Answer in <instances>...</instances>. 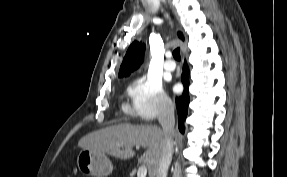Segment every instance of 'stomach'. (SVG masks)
<instances>
[{
	"mask_svg": "<svg viewBox=\"0 0 287 177\" xmlns=\"http://www.w3.org/2000/svg\"><path fill=\"white\" fill-rule=\"evenodd\" d=\"M77 166L81 173L93 177H107L113 165L106 154L91 149H81L77 155Z\"/></svg>",
	"mask_w": 287,
	"mask_h": 177,
	"instance_id": "obj_1",
	"label": "stomach"
}]
</instances>
